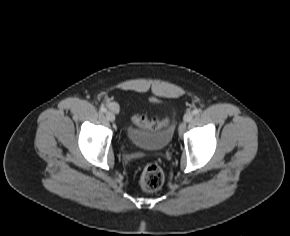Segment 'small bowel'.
<instances>
[{"instance_id": "1", "label": "small bowel", "mask_w": 290, "mask_h": 236, "mask_svg": "<svg viewBox=\"0 0 290 236\" xmlns=\"http://www.w3.org/2000/svg\"><path fill=\"white\" fill-rule=\"evenodd\" d=\"M109 108H111L114 111H117V105L114 103H108Z\"/></svg>"}]
</instances>
